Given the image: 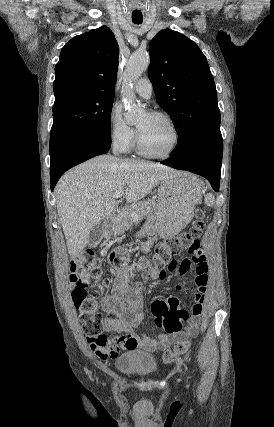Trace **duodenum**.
<instances>
[{
  "label": "duodenum",
  "instance_id": "obj_1",
  "mask_svg": "<svg viewBox=\"0 0 274 427\" xmlns=\"http://www.w3.org/2000/svg\"><path fill=\"white\" fill-rule=\"evenodd\" d=\"M111 225H112L111 221H107V222L105 223V230H106V231H107V230H109V229H110V227H111Z\"/></svg>",
  "mask_w": 274,
  "mask_h": 427
}]
</instances>
